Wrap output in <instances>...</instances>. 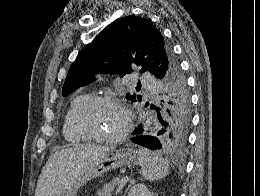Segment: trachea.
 Here are the masks:
<instances>
[{"instance_id": "trachea-1", "label": "trachea", "mask_w": 260, "mask_h": 196, "mask_svg": "<svg viewBox=\"0 0 260 196\" xmlns=\"http://www.w3.org/2000/svg\"><path fill=\"white\" fill-rule=\"evenodd\" d=\"M137 87H141V85H137Z\"/></svg>"}]
</instances>
